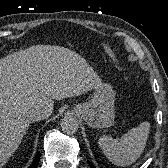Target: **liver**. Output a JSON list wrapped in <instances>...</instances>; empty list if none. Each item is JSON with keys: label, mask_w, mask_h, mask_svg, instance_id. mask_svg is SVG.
<instances>
[{"label": "liver", "mask_w": 168, "mask_h": 168, "mask_svg": "<svg viewBox=\"0 0 168 168\" xmlns=\"http://www.w3.org/2000/svg\"><path fill=\"white\" fill-rule=\"evenodd\" d=\"M100 84L84 58L61 46H31L0 59V166L19 147L31 109L51 115L53 100L79 96Z\"/></svg>", "instance_id": "liver-1"}]
</instances>
